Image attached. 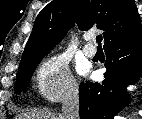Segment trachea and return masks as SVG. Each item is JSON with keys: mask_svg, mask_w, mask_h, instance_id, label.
<instances>
[{"mask_svg": "<svg viewBox=\"0 0 142 119\" xmlns=\"http://www.w3.org/2000/svg\"><path fill=\"white\" fill-rule=\"evenodd\" d=\"M102 35H98L96 37V42L98 43V47H101Z\"/></svg>", "mask_w": 142, "mask_h": 119, "instance_id": "obj_1", "label": "trachea"}]
</instances>
